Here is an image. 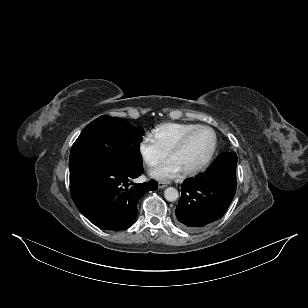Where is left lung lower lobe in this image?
I'll return each mask as SVG.
<instances>
[{"label": "left lung lower lobe", "instance_id": "left-lung-lower-lobe-1", "mask_svg": "<svg viewBox=\"0 0 308 308\" xmlns=\"http://www.w3.org/2000/svg\"><path fill=\"white\" fill-rule=\"evenodd\" d=\"M236 165L235 152L222 153L205 173L182 184L175 210L181 227L200 230L224 215L236 191Z\"/></svg>", "mask_w": 308, "mask_h": 308}]
</instances>
